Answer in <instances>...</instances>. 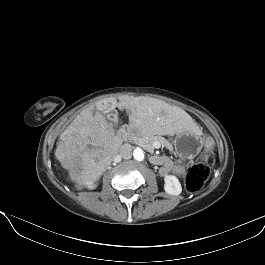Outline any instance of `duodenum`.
<instances>
[{
	"instance_id": "obj_1",
	"label": "duodenum",
	"mask_w": 265,
	"mask_h": 265,
	"mask_svg": "<svg viewBox=\"0 0 265 265\" xmlns=\"http://www.w3.org/2000/svg\"><path fill=\"white\" fill-rule=\"evenodd\" d=\"M118 136L120 137V138H124L125 136H126V130L125 129H121L119 132H118ZM156 158L154 157L153 158V162L155 163V160Z\"/></svg>"
}]
</instances>
